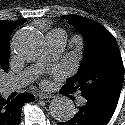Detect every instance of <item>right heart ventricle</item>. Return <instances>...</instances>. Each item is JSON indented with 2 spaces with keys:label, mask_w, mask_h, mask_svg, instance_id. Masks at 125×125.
Here are the masks:
<instances>
[{
  "label": "right heart ventricle",
  "mask_w": 125,
  "mask_h": 125,
  "mask_svg": "<svg viewBox=\"0 0 125 125\" xmlns=\"http://www.w3.org/2000/svg\"><path fill=\"white\" fill-rule=\"evenodd\" d=\"M57 30H58V31H62V32H64V31H63V30H61V29H55L54 31H57ZM64 33H65V32H64Z\"/></svg>",
  "instance_id": "obj_1"
}]
</instances>
